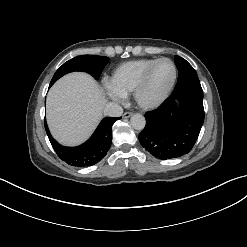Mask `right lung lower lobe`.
<instances>
[{
  "mask_svg": "<svg viewBox=\"0 0 247 247\" xmlns=\"http://www.w3.org/2000/svg\"><path fill=\"white\" fill-rule=\"evenodd\" d=\"M53 83H50L51 87ZM119 117L104 118L88 141L77 147H64L51 136L46 120L45 130L56 154L70 165L78 167L92 166L99 162L108 152L112 142V125Z\"/></svg>",
  "mask_w": 247,
  "mask_h": 247,
  "instance_id": "1",
  "label": "right lung lower lobe"
}]
</instances>
